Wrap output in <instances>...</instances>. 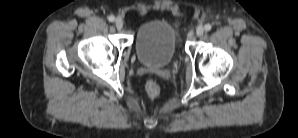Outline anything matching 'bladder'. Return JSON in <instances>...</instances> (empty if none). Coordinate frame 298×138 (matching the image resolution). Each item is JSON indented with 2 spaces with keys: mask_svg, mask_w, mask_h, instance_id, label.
<instances>
[{
  "mask_svg": "<svg viewBox=\"0 0 298 138\" xmlns=\"http://www.w3.org/2000/svg\"><path fill=\"white\" fill-rule=\"evenodd\" d=\"M178 31L168 20L153 19L136 32L134 47L138 60L146 66H167L175 56Z\"/></svg>",
  "mask_w": 298,
  "mask_h": 138,
  "instance_id": "31cf9c89",
  "label": "bladder"
}]
</instances>
